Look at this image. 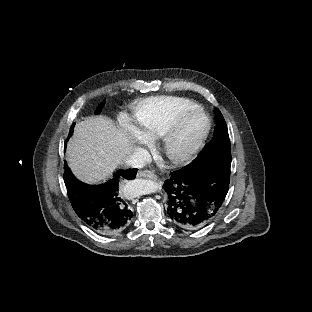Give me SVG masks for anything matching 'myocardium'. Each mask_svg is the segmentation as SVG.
<instances>
[{
    "instance_id": "1",
    "label": "myocardium",
    "mask_w": 312,
    "mask_h": 312,
    "mask_svg": "<svg viewBox=\"0 0 312 312\" xmlns=\"http://www.w3.org/2000/svg\"><path fill=\"white\" fill-rule=\"evenodd\" d=\"M212 130L210 118L200 108H194L186 114L173 117L166 125V131L159 138L160 153L176 164H188L195 156V149L202 147V141L208 138Z\"/></svg>"
}]
</instances>
